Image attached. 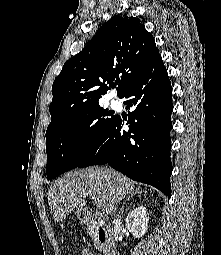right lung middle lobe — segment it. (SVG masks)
Returning <instances> with one entry per match:
<instances>
[{
	"label": "right lung middle lobe",
	"mask_w": 221,
	"mask_h": 255,
	"mask_svg": "<svg viewBox=\"0 0 221 255\" xmlns=\"http://www.w3.org/2000/svg\"><path fill=\"white\" fill-rule=\"evenodd\" d=\"M115 117L97 103L70 115L46 132L47 178L53 179L78 167L99 143Z\"/></svg>",
	"instance_id": "right-lung-middle-lobe-1"
}]
</instances>
